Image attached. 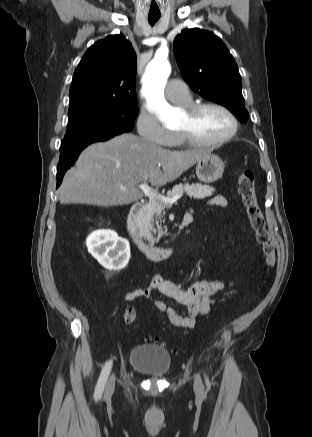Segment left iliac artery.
<instances>
[{"label":"left iliac artery","mask_w":312,"mask_h":437,"mask_svg":"<svg viewBox=\"0 0 312 437\" xmlns=\"http://www.w3.org/2000/svg\"><path fill=\"white\" fill-rule=\"evenodd\" d=\"M206 383H207V386L209 387L210 383H209V380L207 378H206Z\"/></svg>","instance_id":"1"}]
</instances>
